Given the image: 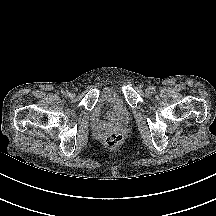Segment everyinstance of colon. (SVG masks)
Here are the masks:
<instances>
[{"label":"colon","instance_id":"5ec220e1","mask_svg":"<svg viewBox=\"0 0 216 216\" xmlns=\"http://www.w3.org/2000/svg\"><path fill=\"white\" fill-rule=\"evenodd\" d=\"M123 141V136L121 133L119 132H111L110 134H108L106 137H105V144L108 146V147H117L118 145L121 144V142Z\"/></svg>","mask_w":216,"mask_h":216}]
</instances>
